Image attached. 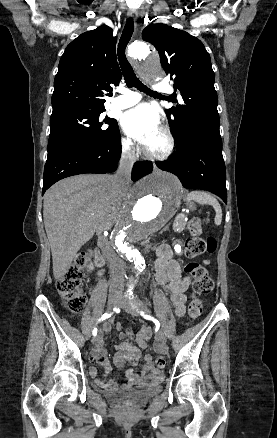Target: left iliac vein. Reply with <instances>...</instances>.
Masks as SVG:
<instances>
[{
	"instance_id": "obj_1",
	"label": "left iliac vein",
	"mask_w": 277,
	"mask_h": 438,
	"mask_svg": "<svg viewBox=\"0 0 277 438\" xmlns=\"http://www.w3.org/2000/svg\"><path fill=\"white\" fill-rule=\"evenodd\" d=\"M137 305L140 311H144L146 313H150L149 309L147 308V306L145 304H143L141 301L137 300ZM120 306L128 313L133 314V315H137L138 311L135 310L133 307H131L128 302L124 299L121 301ZM159 340L162 344L166 343V336L164 331L161 329L159 331Z\"/></svg>"
}]
</instances>
